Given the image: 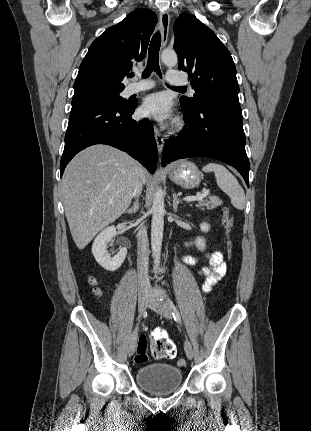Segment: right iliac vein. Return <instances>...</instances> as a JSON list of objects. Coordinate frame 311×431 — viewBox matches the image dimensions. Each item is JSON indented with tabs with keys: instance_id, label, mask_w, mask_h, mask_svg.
I'll return each mask as SVG.
<instances>
[{
	"instance_id": "63e3f726",
	"label": "right iliac vein",
	"mask_w": 311,
	"mask_h": 431,
	"mask_svg": "<svg viewBox=\"0 0 311 431\" xmlns=\"http://www.w3.org/2000/svg\"><path fill=\"white\" fill-rule=\"evenodd\" d=\"M147 302H148V294L145 292L139 294L138 309H139L140 314H142L144 312V310L146 309ZM136 342H137V330H135L133 332V334L131 335L130 340H129V347H128L129 356L133 355L135 348H136Z\"/></svg>"
}]
</instances>
